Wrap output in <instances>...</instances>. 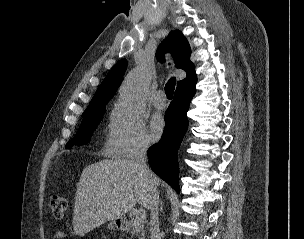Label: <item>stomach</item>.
I'll use <instances>...</instances> for the list:
<instances>
[{"instance_id":"0dacf381","label":"stomach","mask_w":304,"mask_h":239,"mask_svg":"<svg viewBox=\"0 0 304 239\" xmlns=\"http://www.w3.org/2000/svg\"><path fill=\"white\" fill-rule=\"evenodd\" d=\"M118 222L119 219L110 221V223L108 224V229L114 230L115 228H118Z\"/></svg>"}]
</instances>
